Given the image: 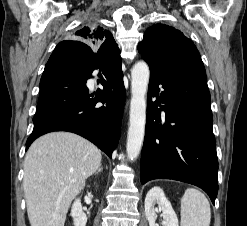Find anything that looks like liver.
<instances>
[{"label": "liver", "mask_w": 247, "mask_h": 226, "mask_svg": "<svg viewBox=\"0 0 247 226\" xmlns=\"http://www.w3.org/2000/svg\"><path fill=\"white\" fill-rule=\"evenodd\" d=\"M86 139L54 132L35 140L24 160L23 188L31 226H64L72 200L101 165Z\"/></svg>", "instance_id": "liver-1"}]
</instances>
